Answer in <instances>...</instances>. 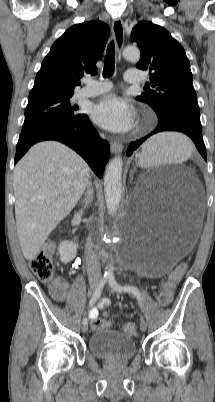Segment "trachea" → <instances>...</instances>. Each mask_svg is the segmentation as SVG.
Returning a JSON list of instances; mask_svg holds the SVG:
<instances>
[{"label": "trachea", "mask_w": 215, "mask_h": 402, "mask_svg": "<svg viewBox=\"0 0 215 402\" xmlns=\"http://www.w3.org/2000/svg\"><path fill=\"white\" fill-rule=\"evenodd\" d=\"M114 69H115V45L114 41H111L106 51L103 77L112 76L114 74Z\"/></svg>", "instance_id": "3493384b"}]
</instances>
